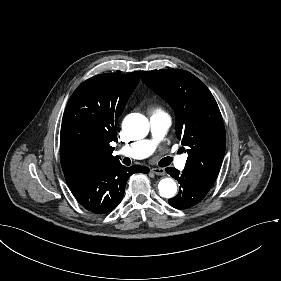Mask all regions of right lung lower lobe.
Returning <instances> with one entry per match:
<instances>
[{
	"label": "right lung lower lobe",
	"mask_w": 281,
	"mask_h": 281,
	"mask_svg": "<svg viewBox=\"0 0 281 281\" xmlns=\"http://www.w3.org/2000/svg\"><path fill=\"white\" fill-rule=\"evenodd\" d=\"M148 173L145 166L125 167L120 162L104 164L86 171L64 173L66 182L78 202L87 210L104 214L121 202L129 177Z\"/></svg>",
	"instance_id": "right-lung-lower-lobe-1"
}]
</instances>
